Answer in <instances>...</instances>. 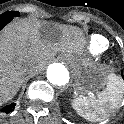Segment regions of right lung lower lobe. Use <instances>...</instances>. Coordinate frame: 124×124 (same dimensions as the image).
<instances>
[{
    "mask_svg": "<svg viewBox=\"0 0 124 124\" xmlns=\"http://www.w3.org/2000/svg\"><path fill=\"white\" fill-rule=\"evenodd\" d=\"M13 20V17H0V31L9 23ZM15 103H12L10 105L5 106L2 108L0 111L4 113H9L13 111L15 107Z\"/></svg>",
    "mask_w": 124,
    "mask_h": 124,
    "instance_id": "1",
    "label": "right lung lower lobe"
}]
</instances>
